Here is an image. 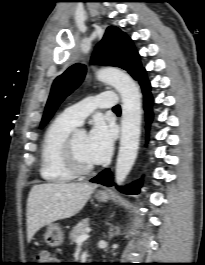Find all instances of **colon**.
<instances>
[{
    "label": "colon",
    "instance_id": "5ec220e1",
    "mask_svg": "<svg viewBox=\"0 0 205 265\" xmlns=\"http://www.w3.org/2000/svg\"><path fill=\"white\" fill-rule=\"evenodd\" d=\"M39 265H53L56 258L48 251L42 250L37 254Z\"/></svg>",
    "mask_w": 205,
    "mask_h": 265
}]
</instances>
